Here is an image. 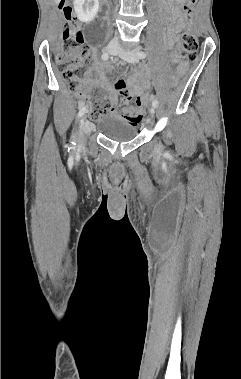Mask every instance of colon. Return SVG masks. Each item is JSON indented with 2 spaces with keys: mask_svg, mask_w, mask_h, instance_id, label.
Masks as SVG:
<instances>
[{
  "mask_svg": "<svg viewBox=\"0 0 241 379\" xmlns=\"http://www.w3.org/2000/svg\"><path fill=\"white\" fill-rule=\"evenodd\" d=\"M197 0H186L182 11L187 22H191L194 14V7ZM65 20L66 30L64 34L65 44L57 58L58 68L62 72L66 85L70 92L77 95L82 103L88 106V117L92 121L98 120L102 115L113 110V102L110 97L100 90L84 92L82 90L81 67L87 59V51L84 47V39L79 27L74 23L75 13L73 7L65 0L59 5ZM183 57L189 63H193L198 58V40L195 34L186 31L182 35ZM173 86H180L181 80L176 76L171 78ZM116 87L122 93H126L124 83L116 82ZM154 92L152 87H144L139 93L142 103L148 102V97Z\"/></svg>",
  "mask_w": 241,
  "mask_h": 379,
  "instance_id": "1",
  "label": "colon"
}]
</instances>
